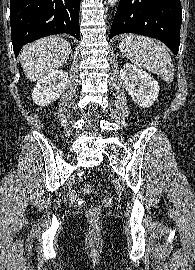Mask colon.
<instances>
[{
	"mask_svg": "<svg viewBox=\"0 0 195 270\" xmlns=\"http://www.w3.org/2000/svg\"><path fill=\"white\" fill-rule=\"evenodd\" d=\"M84 193L90 194L94 192V188L92 186H85L83 188ZM102 204L104 206H110L112 204V199L110 197H104L102 200ZM101 209L97 206L91 207L87 210V216L90 220L96 221L100 217Z\"/></svg>",
	"mask_w": 195,
	"mask_h": 270,
	"instance_id": "5ec220e1",
	"label": "colon"
}]
</instances>
